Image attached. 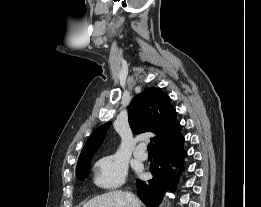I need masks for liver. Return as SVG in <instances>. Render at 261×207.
<instances>
[{
  "instance_id": "1",
  "label": "liver",
  "mask_w": 261,
  "mask_h": 207,
  "mask_svg": "<svg viewBox=\"0 0 261 207\" xmlns=\"http://www.w3.org/2000/svg\"><path fill=\"white\" fill-rule=\"evenodd\" d=\"M126 194L121 191L108 192L92 198L83 207H130ZM138 202L139 207H142L141 201Z\"/></svg>"
}]
</instances>
